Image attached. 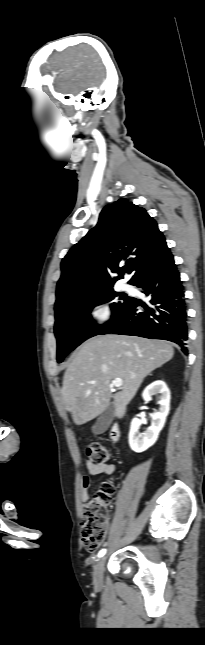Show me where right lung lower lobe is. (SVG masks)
I'll return each mask as SVG.
<instances>
[{
	"mask_svg": "<svg viewBox=\"0 0 205 645\" xmlns=\"http://www.w3.org/2000/svg\"><path fill=\"white\" fill-rule=\"evenodd\" d=\"M151 299L131 298L117 321L101 334L135 335L178 344L187 355V311L184 288L173 256L142 272L131 283ZM142 306V312L137 307ZM100 334V335H101Z\"/></svg>",
	"mask_w": 205,
	"mask_h": 645,
	"instance_id": "obj_1",
	"label": "right lung lower lobe"
}]
</instances>
